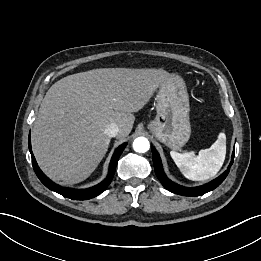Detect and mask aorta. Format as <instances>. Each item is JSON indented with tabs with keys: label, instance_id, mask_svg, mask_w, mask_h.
<instances>
[{
	"label": "aorta",
	"instance_id": "aorta-1",
	"mask_svg": "<svg viewBox=\"0 0 261 261\" xmlns=\"http://www.w3.org/2000/svg\"><path fill=\"white\" fill-rule=\"evenodd\" d=\"M150 143L145 137H138L133 142V149L139 153H145L149 150Z\"/></svg>",
	"mask_w": 261,
	"mask_h": 261
}]
</instances>
